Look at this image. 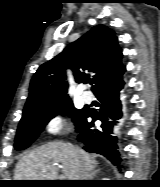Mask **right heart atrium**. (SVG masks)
I'll return each mask as SVG.
<instances>
[{
    "label": "right heart atrium",
    "mask_w": 160,
    "mask_h": 187,
    "mask_svg": "<svg viewBox=\"0 0 160 187\" xmlns=\"http://www.w3.org/2000/svg\"><path fill=\"white\" fill-rule=\"evenodd\" d=\"M45 130L50 135H59L67 130L66 119L60 115H53L47 119Z\"/></svg>",
    "instance_id": "right-heart-atrium-1"
}]
</instances>
